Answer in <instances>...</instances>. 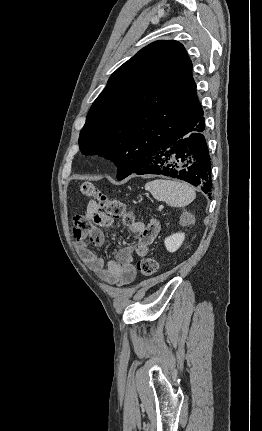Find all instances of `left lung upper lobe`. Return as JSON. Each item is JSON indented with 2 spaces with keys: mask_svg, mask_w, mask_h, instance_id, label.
Masks as SVG:
<instances>
[{
  "mask_svg": "<svg viewBox=\"0 0 262 431\" xmlns=\"http://www.w3.org/2000/svg\"><path fill=\"white\" fill-rule=\"evenodd\" d=\"M202 114L185 48L155 41L110 76L80 132V150L112 160L122 180L143 155Z\"/></svg>",
  "mask_w": 262,
  "mask_h": 431,
  "instance_id": "obj_1",
  "label": "left lung upper lobe"
}]
</instances>
